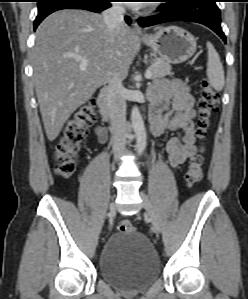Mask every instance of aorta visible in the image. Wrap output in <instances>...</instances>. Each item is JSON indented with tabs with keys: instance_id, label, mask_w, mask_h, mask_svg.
<instances>
[{
	"instance_id": "1",
	"label": "aorta",
	"mask_w": 248,
	"mask_h": 299,
	"mask_svg": "<svg viewBox=\"0 0 248 299\" xmlns=\"http://www.w3.org/2000/svg\"><path fill=\"white\" fill-rule=\"evenodd\" d=\"M131 122L133 130L136 134V147L139 154H141L147 144L146 130L144 121L137 106H134L131 111Z\"/></svg>"
}]
</instances>
